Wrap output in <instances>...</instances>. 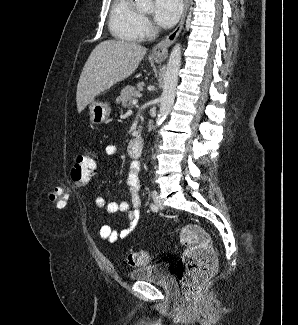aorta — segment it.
<instances>
[{"mask_svg":"<svg viewBox=\"0 0 298 325\" xmlns=\"http://www.w3.org/2000/svg\"><path fill=\"white\" fill-rule=\"evenodd\" d=\"M134 2L136 8H140V10H150V8H153L154 6L153 0H134ZM181 62L182 44L181 42H175L174 46L171 48L167 62L163 88L160 96L159 110L156 118V126H159L160 122H163L168 112H170L171 106L174 104Z\"/></svg>","mask_w":298,"mask_h":325,"instance_id":"obj_1","label":"aorta"}]
</instances>
